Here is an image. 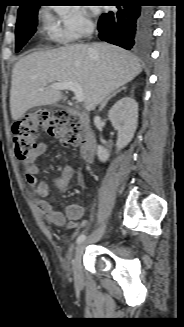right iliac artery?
Returning a JSON list of instances; mask_svg holds the SVG:
<instances>
[{
  "label": "right iliac artery",
  "instance_id": "right-iliac-artery-1",
  "mask_svg": "<svg viewBox=\"0 0 184 327\" xmlns=\"http://www.w3.org/2000/svg\"><path fill=\"white\" fill-rule=\"evenodd\" d=\"M86 239V235L85 234H81L78 238H77V244L80 245L81 243H83Z\"/></svg>",
  "mask_w": 184,
  "mask_h": 327
}]
</instances>
